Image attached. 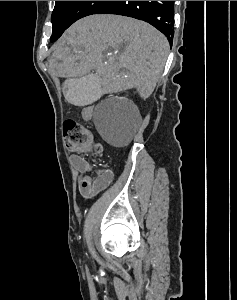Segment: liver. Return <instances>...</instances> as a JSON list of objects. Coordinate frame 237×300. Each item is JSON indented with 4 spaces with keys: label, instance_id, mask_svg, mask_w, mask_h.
<instances>
[{
    "label": "liver",
    "instance_id": "6515ba94",
    "mask_svg": "<svg viewBox=\"0 0 237 300\" xmlns=\"http://www.w3.org/2000/svg\"><path fill=\"white\" fill-rule=\"evenodd\" d=\"M168 49L166 37L144 21L90 15L62 35L49 67L57 77L94 69L103 77L105 93L137 89L141 99H148L161 79Z\"/></svg>",
    "mask_w": 237,
    "mask_h": 300
}]
</instances>
